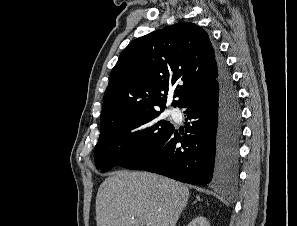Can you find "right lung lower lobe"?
<instances>
[{
  "mask_svg": "<svg viewBox=\"0 0 297 226\" xmlns=\"http://www.w3.org/2000/svg\"><path fill=\"white\" fill-rule=\"evenodd\" d=\"M181 108L192 124L186 134L173 128L152 150L130 161L143 169L193 185H224L238 175L241 108L225 62L218 59L217 82L188 97Z\"/></svg>",
  "mask_w": 297,
  "mask_h": 226,
  "instance_id": "1",
  "label": "right lung lower lobe"
}]
</instances>
